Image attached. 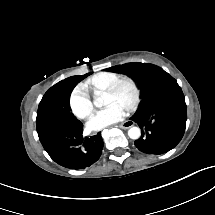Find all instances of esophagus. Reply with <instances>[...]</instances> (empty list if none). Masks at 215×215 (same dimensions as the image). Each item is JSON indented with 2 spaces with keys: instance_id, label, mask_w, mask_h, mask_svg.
<instances>
[{
  "instance_id": "obj_1",
  "label": "esophagus",
  "mask_w": 215,
  "mask_h": 215,
  "mask_svg": "<svg viewBox=\"0 0 215 215\" xmlns=\"http://www.w3.org/2000/svg\"><path fill=\"white\" fill-rule=\"evenodd\" d=\"M132 126H134V121L127 120V121L123 122L122 124H120L119 127L122 128V129H128V128L132 127Z\"/></svg>"
}]
</instances>
